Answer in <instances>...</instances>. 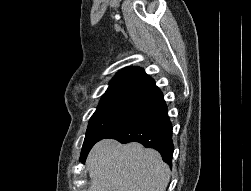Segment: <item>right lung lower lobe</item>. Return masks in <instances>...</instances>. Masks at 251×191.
Returning <instances> with one entry per match:
<instances>
[{"label": "right lung lower lobe", "mask_w": 251, "mask_h": 191, "mask_svg": "<svg viewBox=\"0 0 251 191\" xmlns=\"http://www.w3.org/2000/svg\"><path fill=\"white\" fill-rule=\"evenodd\" d=\"M108 138L121 143L139 142L147 148L157 150L163 161L171 165L174 150L172 124L163 96Z\"/></svg>", "instance_id": "obj_1"}]
</instances>
